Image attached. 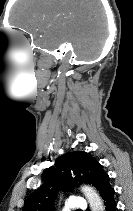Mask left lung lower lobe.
Returning <instances> with one entry per match:
<instances>
[{"mask_svg": "<svg viewBox=\"0 0 133 211\" xmlns=\"http://www.w3.org/2000/svg\"><path fill=\"white\" fill-rule=\"evenodd\" d=\"M115 191L114 189L110 186L108 187L102 194V198L104 200V205H105V209L106 211H116L117 208V204L115 202Z\"/></svg>", "mask_w": 133, "mask_h": 211, "instance_id": "0a47b994", "label": "left lung lower lobe"}]
</instances>
